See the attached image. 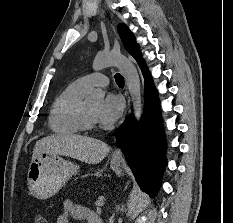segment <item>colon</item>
<instances>
[{"label":"colon","mask_w":233,"mask_h":223,"mask_svg":"<svg viewBox=\"0 0 233 223\" xmlns=\"http://www.w3.org/2000/svg\"><path fill=\"white\" fill-rule=\"evenodd\" d=\"M35 223H45V220L42 219V218H37V219L35 220Z\"/></svg>","instance_id":"obj_1"}]
</instances>
